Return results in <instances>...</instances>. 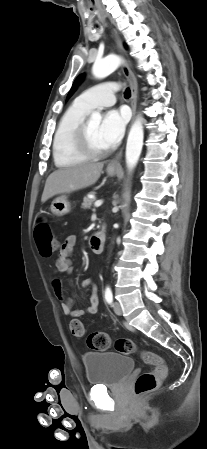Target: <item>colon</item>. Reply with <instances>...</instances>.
I'll return each instance as SVG.
<instances>
[{
    "label": "colon",
    "instance_id": "5ec220e1",
    "mask_svg": "<svg viewBox=\"0 0 207 449\" xmlns=\"http://www.w3.org/2000/svg\"><path fill=\"white\" fill-rule=\"evenodd\" d=\"M34 239L43 257L52 256L59 245L53 229L44 222L36 224ZM69 328L76 337L85 335L84 325L79 319H72ZM87 345L96 351H105L112 345L116 352L124 355L138 354L144 363L152 365L153 371L143 372L135 381L134 392L138 396L155 391L159 386L160 379L167 374L166 363L160 356L151 351L138 348L130 339L119 338L112 342L107 333L94 332L88 335Z\"/></svg>",
    "mask_w": 207,
    "mask_h": 449
}]
</instances>
